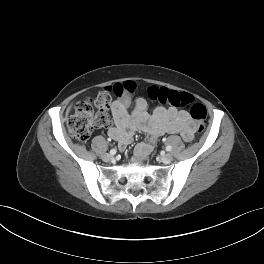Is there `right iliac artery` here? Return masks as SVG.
I'll return each mask as SVG.
<instances>
[{
  "label": "right iliac artery",
  "instance_id": "1",
  "mask_svg": "<svg viewBox=\"0 0 264 264\" xmlns=\"http://www.w3.org/2000/svg\"><path fill=\"white\" fill-rule=\"evenodd\" d=\"M116 152H117V150L114 148L110 150V154H112V155H114Z\"/></svg>",
  "mask_w": 264,
  "mask_h": 264
}]
</instances>
